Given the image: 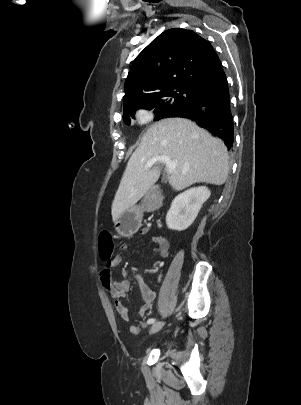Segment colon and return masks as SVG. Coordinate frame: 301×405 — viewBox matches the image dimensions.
<instances>
[{"label":"colon","mask_w":301,"mask_h":405,"mask_svg":"<svg viewBox=\"0 0 301 405\" xmlns=\"http://www.w3.org/2000/svg\"><path fill=\"white\" fill-rule=\"evenodd\" d=\"M98 249L101 259L109 263L113 255L112 237L108 231H102L98 238Z\"/></svg>","instance_id":"5ec220e1"}]
</instances>
